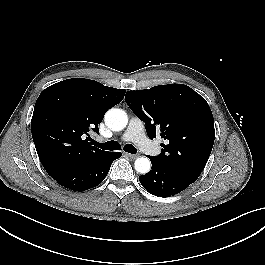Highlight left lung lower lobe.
Instances as JSON below:
<instances>
[{
  "label": "left lung lower lobe",
  "mask_w": 265,
  "mask_h": 265,
  "mask_svg": "<svg viewBox=\"0 0 265 265\" xmlns=\"http://www.w3.org/2000/svg\"><path fill=\"white\" fill-rule=\"evenodd\" d=\"M152 168L139 177L141 185L151 194L160 197L173 196L186 189L195 180L169 169L149 156Z\"/></svg>",
  "instance_id": "left-lung-lower-lobe-1"
}]
</instances>
